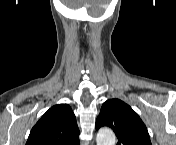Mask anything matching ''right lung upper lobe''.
Masks as SVG:
<instances>
[{"label":"right lung upper lobe","mask_w":176,"mask_h":145,"mask_svg":"<svg viewBox=\"0 0 176 145\" xmlns=\"http://www.w3.org/2000/svg\"><path fill=\"white\" fill-rule=\"evenodd\" d=\"M79 129L68 104L51 107L32 128L26 145H78Z\"/></svg>","instance_id":"right-lung-upper-lobe-1"}]
</instances>
